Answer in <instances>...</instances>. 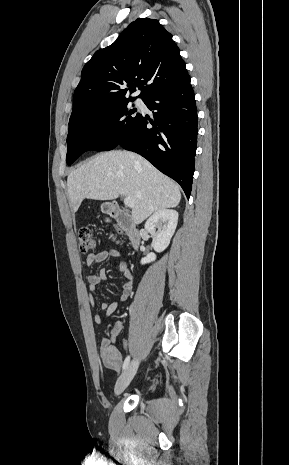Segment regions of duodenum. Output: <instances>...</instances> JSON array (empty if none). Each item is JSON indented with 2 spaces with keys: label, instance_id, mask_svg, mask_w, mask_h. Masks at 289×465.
Listing matches in <instances>:
<instances>
[{
  "label": "duodenum",
  "instance_id": "obj_1",
  "mask_svg": "<svg viewBox=\"0 0 289 465\" xmlns=\"http://www.w3.org/2000/svg\"><path fill=\"white\" fill-rule=\"evenodd\" d=\"M106 211L110 216L117 220L121 228L126 232L133 248L138 249L141 242V235L130 215L120 209L116 203H111L107 207Z\"/></svg>",
  "mask_w": 289,
  "mask_h": 465
}]
</instances>
